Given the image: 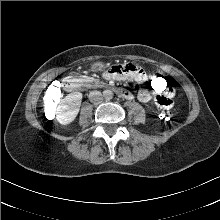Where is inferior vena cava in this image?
<instances>
[{
  "label": "inferior vena cava",
  "mask_w": 220,
  "mask_h": 220,
  "mask_svg": "<svg viewBox=\"0 0 220 220\" xmlns=\"http://www.w3.org/2000/svg\"><path fill=\"white\" fill-rule=\"evenodd\" d=\"M101 93L99 91H92L89 94V99L92 103H99L102 100Z\"/></svg>",
  "instance_id": "602c4592"
}]
</instances>
